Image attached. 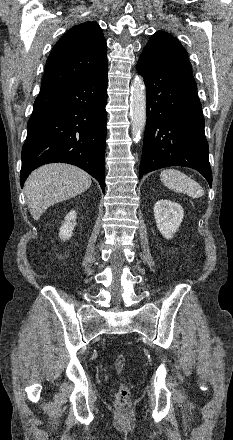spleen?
I'll list each match as a JSON object with an SVG mask.
<instances>
[{"instance_id":"3e777b00","label":"spleen","mask_w":233,"mask_h":440,"mask_svg":"<svg viewBox=\"0 0 233 440\" xmlns=\"http://www.w3.org/2000/svg\"><path fill=\"white\" fill-rule=\"evenodd\" d=\"M161 182L175 192L186 193L192 198H200L204 190L199 183L176 169H165L160 174Z\"/></svg>"}]
</instances>
